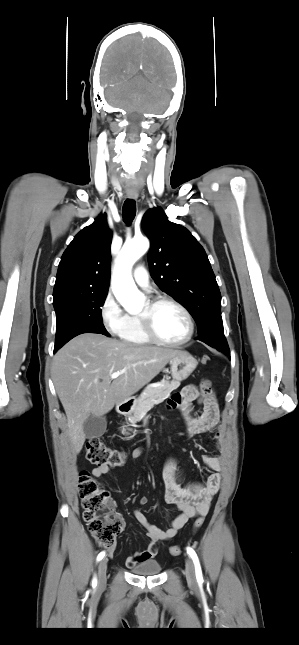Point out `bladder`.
Listing matches in <instances>:
<instances>
[{
	"instance_id": "obj_1",
	"label": "bladder",
	"mask_w": 299,
	"mask_h": 645,
	"mask_svg": "<svg viewBox=\"0 0 299 645\" xmlns=\"http://www.w3.org/2000/svg\"><path fill=\"white\" fill-rule=\"evenodd\" d=\"M131 570L138 575H155L161 571V565L156 560H149L133 566Z\"/></svg>"
}]
</instances>
